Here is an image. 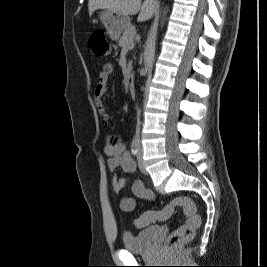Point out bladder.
<instances>
[{
    "mask_svg": "<svg viewBox=\"0 0 267 267\" xmlns=\"http://www.w3.org/2000/svg\"><path fill=\"white\" fill-rule=\"evenodd\" d=\"M160 230V226L153 225L137 233L126 232L123 235V247L133 253L146 252L152 246Z\"/></svg>",
    "mask_w": 267,
    "mask_h": 267,
    "instance_id": "bladder-1",
    "label": "bladder"
}]
</instances>
